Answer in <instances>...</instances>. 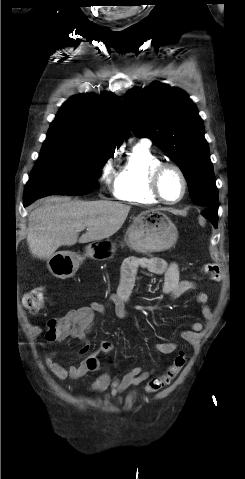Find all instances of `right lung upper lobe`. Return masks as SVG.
<instances>
[{
    "label": "right lung upper lobe",
    "instance_id": "1",
    "mask_svg": "<svg viewBox=\"0 0 245 479\" xmlns=\"http://www.w3.org/2000/svg\"><path fill=\"white\" fill-rule=\"evenodd\" d=\"M48 135L80 140L97 148L114 149L130 135L122 104L104 92L74 96L63 104Z\"/></svg>",
    "mask_w": 245,
    "mask_h": 479
}]
</instances>
